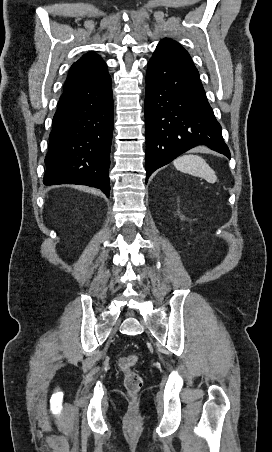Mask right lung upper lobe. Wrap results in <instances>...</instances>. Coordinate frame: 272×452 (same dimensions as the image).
<instances>
[{"instance_id":"1","label":"right lung upper lobe","mask_w":272,"mask_h":452,"mask_svg":"<svg viewBox=\"0 0 272 452\" xmlns=\"http://www.w3.org/2000/svg\"><path fill=\"white\" fill-rule=\"evenodd\" d=\"M108 76L107 65L102 58L95 53H87L71 66L63 93L95 85Z\"/></svg>"}]
</instances>
